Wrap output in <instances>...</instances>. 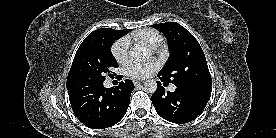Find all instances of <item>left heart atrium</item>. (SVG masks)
Masks as SVG:
<instances>
[{
	"label": "left heart atrium",
	"instance_id": "obj_1",
	"mask_svg": "<svg viewBox=\"0 0 276 138\" xmlns=\"http://www.w3.org/2000/svg\"><path fill=\"white\" fill-rule=\"evenodd\" d=\"M158 68L153 61L137 62L131 61L125 67V73L132 78H146Z\"/></svg>",
	"mask_w": 276,
	"mask_h": 138
}]
</instances>
